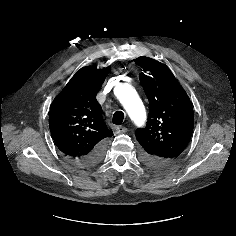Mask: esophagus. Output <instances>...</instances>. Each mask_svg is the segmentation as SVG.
I'll list each match as a JSON object with an SVG mask.
<instances>
[{"mask_svg":"<svg viewBox=\"0 0 236 236\" xmlns=\"http://www.w3.org/2000/svg\"><path fill=\"white\" fill-rule=\"evenodd\" d=\"M127 131V128L126 127H123V126H118V127H116V129H115V132L117 133V134H122V133H125Z\"/></svg>","mask_w":236,"mask_h":236,"instance_id":"obj_1","label":"esophagus"}]
</instances>
